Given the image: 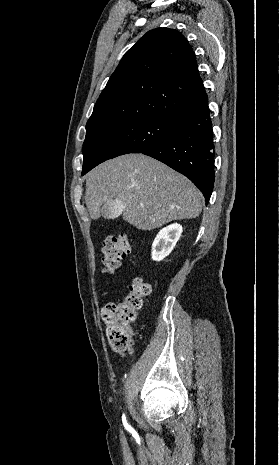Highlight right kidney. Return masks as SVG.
I'll return each instance as SVG.
<instances>
[{"instance_id": "right-kidney-1", "label": "right kidney", "mask_w": 279, "mask_h": 465, "mask_svg": "<svg viewBox=\"0 0 279 465\" xmlns=\"http://www.w3.org/2000/svg\"><path fill=\"white\" fill-rule=\"evenodd\" d=\"M182 226L178 223L162 228L152 244V259L161 261L167 257L181 237Z\"/></svg>"}]
</instances>
